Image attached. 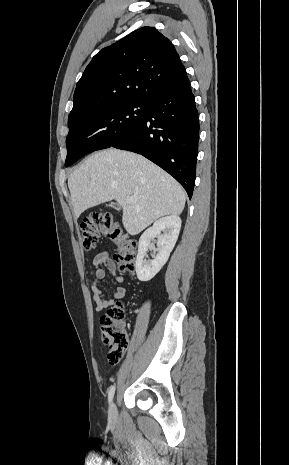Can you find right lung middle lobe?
Here are the masks:
<instances>
[{
    "mask_svg": "<svg viewBox=\"0 0 289 465\" xmlns=\"http://www.w3.org/2000/svg\"><path fill=\"white\" fill-rule=\"evenodd\" d=\"M149 101L125 100L90 106L85 118L69 128L65 166L95 150L111 147L142 123Z\"/></svg>",
    "mask_w": 289,
    "mask_h": 465,
    "instance_id": "1",
    "label": "right lung middle lobe"
}]
</instances>
